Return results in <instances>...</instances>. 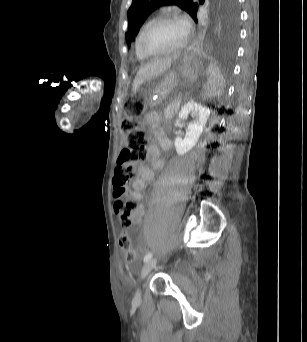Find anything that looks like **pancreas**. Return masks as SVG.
<instances>
[{
	"label": "pancreas",
	"instance_id": "cf45deb5",
	"mask_svg": "<svg viewBox=\"0 0 307 342\" xmlns=\"http://www.w3.org/2000/svg\"><path fill=\"white\" fill-rule=\"evenodd\" d=\"M171 101L173 103V106H165L164 107V116L165 117H174L175 116V111L173 110V108H175L174 105L176 106L180 100L178 97H173Z\"/></svg>",
	"mask_w": 307,
	"mask_h": 342
}]
</instances>
